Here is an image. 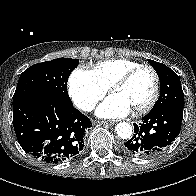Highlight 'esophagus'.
I'll return each mask as SVG.
<instances>
[{
  "instance_id": "obj_1",
  "label": "esophagus",
  "mask_w": 196,
  "mask_h": 196,
  "mask_svg": "<svg viewBox=\"0 0 196 196\" xmlns=\"http://www.w3.org/2000/svg\"><path fill=\"white\" fill-rule=\"evenodd\" d=\"M101 123L102 124H106V125H112V124H114L113 121H102Z\"/></svg>"
}]
</instances>
